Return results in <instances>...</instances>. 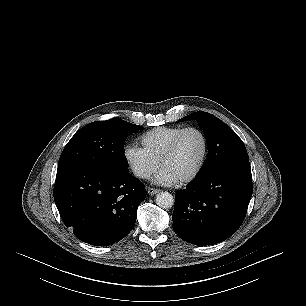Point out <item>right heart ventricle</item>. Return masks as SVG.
Segmentation results:
<instances>
[{
  "instance_id": "obj_1",
  "label": "right heart ventricle",
  "mask_w": 306,
  "mask_h": 306,
  "mask_svg": "<svg viewBox=\"0 0 306 306\" xmlns=\"http://www.w3.org/2000/svg\"><path fill=\"white\" fill-rule=\"evenodd\" d=\"M183 127H158L141 136L143 148L158 162Z\"/></svg>"
}]
</instances>
